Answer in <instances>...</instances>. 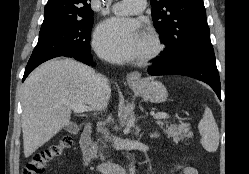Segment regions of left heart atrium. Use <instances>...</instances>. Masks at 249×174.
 <instances>
[{
    "label": "left heart atrium",
    "instance_id": "1",
    "mask_svg": "<svg viewBox=\"0 0 249 174\" xmlns=\"http://www.w3.org/2000/svg\"><path fill=\"white\" fill-rule=\"evenodd\" d=\"M141 32L138 22L126 18H111L103 22L94 35V46L102 57L125 62L139 54Z\"/></svg>",
    "mask_w": 249,
    "mask_h": 174
}]
</instances>
